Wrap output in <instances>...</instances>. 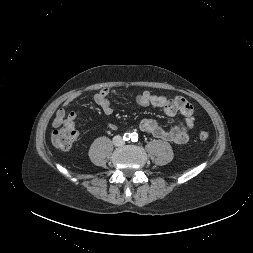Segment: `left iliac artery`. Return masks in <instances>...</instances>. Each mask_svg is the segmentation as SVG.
I'll return each instance as SVG.
<instances>
[{"instance_id":"44dca946","label":"left iliac artery","mask_w":253,"mask_h":253,"mask_svg":"<svg viewBox=\"0 0 253 253\" xmlns=\"http://www.w3.org/2000/svg\"><path fill=\"white\" fill-rule=\"evenodd\" d=\"M131 140H132V142H137L138 141V135H137V133L134 132L132 134V139Z\"/></svg>"}]
</instances>
